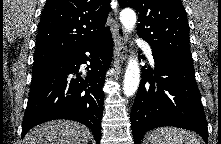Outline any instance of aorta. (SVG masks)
Returning a JSON list of instances; mask_svg holds the SVG:
<instances>
[{"instance_id":"obj_1","label":"aorta","mask_w":221,"mask_h":144,"mask_svg":"<svg viewBox=\"0 0 221 144\" xmlns=\"http://www.w3.org/2000/svg\"><path fill=\"white\" fill-rule=\"evenodd\" d=\"M120 21L123 27L130 32L136 24V14L132 9H124L120 13ZM140 81V69L136 58L131 57L126 68L123 92L127 97L134 95Z\"/></svg>"}]
</instances>
